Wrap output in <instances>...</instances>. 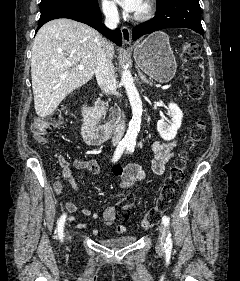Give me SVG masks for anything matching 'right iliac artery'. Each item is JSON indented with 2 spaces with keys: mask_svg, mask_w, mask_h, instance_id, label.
<instances>
[{
  "mask_svg": "<svg viewBox=\"0 0 240 281\" xmlns=\"http://www.w3.org/2000/svg\"><path fill=\"white\" fill-rule=\"evenodd\" d=\"M128 146V144L126 142H120L115 153H114V156L112 158V161L113 162H116L122 155L123 151L125 150V148ZM65 220H66V214L64 213L59 221H58V225H57V232H58V236L60 238V240L62 241L63 240V237H64V233H63V230H64V223H65Z\"/></svg>",
  "mask_w": 240,
  "mask_h": 281,
  "instance_id": "right-iliac-artery-1",
  "label": "right iliac artery"
}]
</instances>
